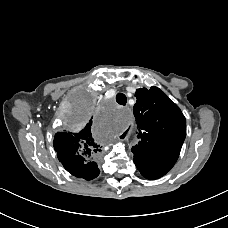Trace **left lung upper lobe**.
Masks as SVG:
<instances>
[{"label":"left lung upper lobe","instance_id":"obj_1","mask_svg":"<svg viewBox=\"0 0 228 228\" xmlns=\"http://www.w3.org/2000/svg\"><path fill=\"white\" fill-rule=\"evenodd\" d=\"M135 96L139 142L132 149L178 158L186 137V119L180 108L154 86L137 89Z\"/></svg>","mask_w":228,"mask_h":228}]
</instances>
